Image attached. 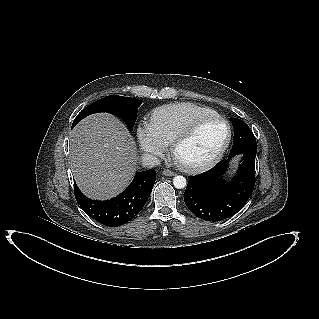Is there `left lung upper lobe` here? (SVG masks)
<instances>
[{
	"mask_svg": "<svg viewBox=\"0 0 319 319\" xmlns=\"http://www.w3.org/2000/svg\"><path fill=\"white\" fill-rule=\"evenodd\" d=\"M234 127V140L231 151L240 152L245 150L257 151V143L249 126L236 118Z\"/></svg>",
	"mask_w": 319,
	"mask_h": 319,
	"instance_id": "obj_1",
	"label": "left lung upper lobe"
}]
</instances>
